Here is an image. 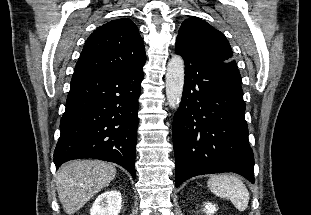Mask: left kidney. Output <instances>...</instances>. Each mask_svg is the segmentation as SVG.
<instances>
[{
  "mask_svg": "<svg viewBox=\"0 0 311 215\" xmlns=\"http://www.w3.org/2000/svg\"><path fill=\"white\" fill-rule=\"evenodd\" d=\"M216 211H217V209H216L214 204H212V203H206L205 204L204 212H206L207 215L214 214Z\"/></svg>",
  "mask_w": 311,
  "mask_h": 215,
  "instance_id": "left-kidney-1",
  "label": "left kidney"
}]
</instances>
